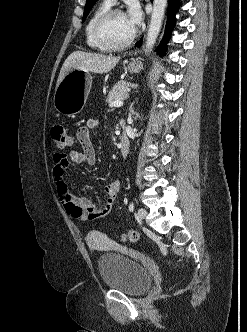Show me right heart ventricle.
Listing matches in <instances>:
<instances>
[{"mask_svg": "<svg viewBox=\"0 0 247 332\" xmlns=\"http://www.w3.org/2000/svg\"><path fill=\"white\" fill-rule=\"evenodd\" d=\"M111 5L106 1L100 3L90 15L86 26H85V37L86 43L89 48L97 51H106V49L98 43V41L94 37L93 27L97 19L108 9H110Z\"/></svg>", "mask_w": 247, "mask_h": 332, "instance_id": "right-heart-ventricle-1", "label": "right heart ventricle"}]
</instances>
